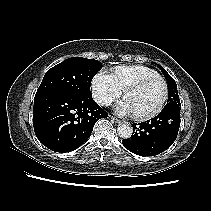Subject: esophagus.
<instances>
[{
  "label": "esophagus",
  "instance_id": "esophagus-1",
  "mask_svg": "<svg viewBox=\"0 0 211 211\" xmlns=\"http://www.w3.org/2000/svg\"><path fill=\"white\" fill-rule=\"evenodd\" d=\"M111 119H112L113 122H115L117 124H120L122 122L121 120H119V119H117V118H115L113 116H111Z\"/></svg>",
  "mask_w": 211,
  "mask_h": 211
}]
</instances>
